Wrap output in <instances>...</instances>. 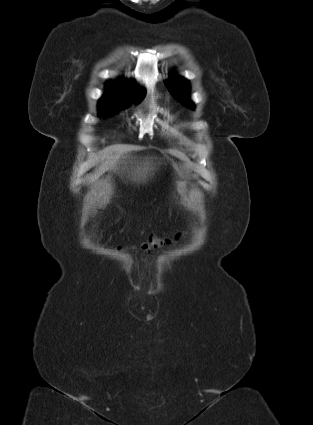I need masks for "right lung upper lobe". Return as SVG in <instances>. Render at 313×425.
<instances>
[{"label": "right lung upper lobe", "instance_id": "obj_1", "mask_svg": "<svg viewBox=\"0 0 313 425\" xmlns=\"http://www.w3.org/2000/svg\"><path fill=\"white\" fill-rule=\"evenodd\" d=\"M106 92L99 102L117 100L122 103L137 102L143 99L145 92L135 82L121 80L119 83H107Z\"/></svg>", "mask_w": 313, "mask_h": 425}]
</instances>
